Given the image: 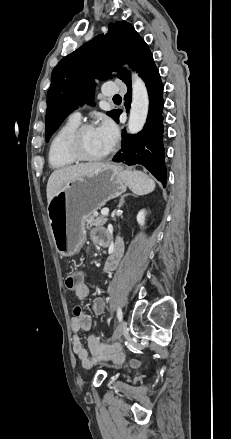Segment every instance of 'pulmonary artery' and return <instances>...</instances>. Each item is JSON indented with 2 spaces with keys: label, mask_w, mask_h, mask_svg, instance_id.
Masks as SVG:
<instances>
[{
  "label": "pulmonary artery",
  "mask_w": 231,
  "mask_h": 439,
  "mask_svg": "<svg viewBox=\"0 0 231 439\" xmlns=\"http://www.w3.org/2000/svg\"><path fill=\"white\" fill-rule=\"evenodd\" d=\"M118 91H119L118 85L113 83V82L107 83L103 86V94L105 96L113 95V94L117 93ZM81 117H82V115H81L80 111H74L69 116L70 119L75 120V121H80Z\"/></svg>",
  "instance_id": "1"
}]
</instances>
